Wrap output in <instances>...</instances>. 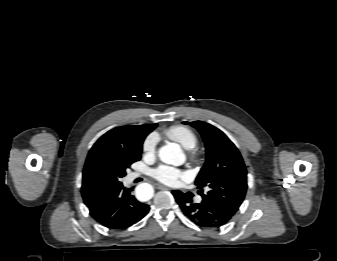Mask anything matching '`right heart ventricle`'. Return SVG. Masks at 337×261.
<instances>
[{
  "mask_svg": "<svg viewBox=\"0 0 337 261\" xmlns=\"http://www.w3.org/2000/svg\"><path fill=\"white\" fill-rule=\"evenodd\" d=\"M164 135L183 148L190 150L197 146L198 138L193 130L183 125H173L164 130Z\"/></svg>",
  "mask_w": 337,
  "mask_h": 261,
  "instance_id": "1",
  "label": "right heart ventricle"
}]
</instances>
